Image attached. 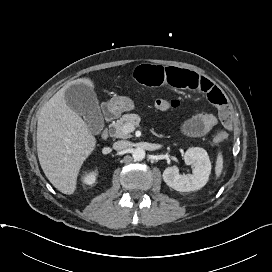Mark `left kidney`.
<instances>
[{
    "instance_id": "1",
    "label": "left kidney",
    "mask_w": 272,
    "mask_h": 272,
    "mask_svg": "<svg viewBox=\"0 0 272 272\" xmlns=\"http://www.w3.org/2000/svg\"><path fill=\"white\" fill-rule=\"evenodd\" d=\"M187 165L194 166L193 174L181 175L177 166L167 167L163 172L165 183L179 191H195L206 185L211 173V162L203 148H189L184 155Z\"/></svg>"
}]
</instances>
